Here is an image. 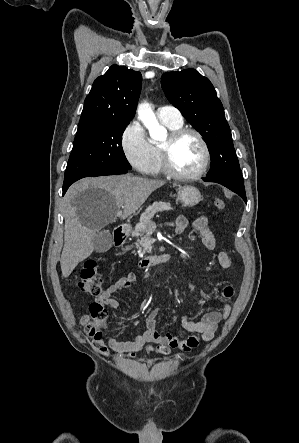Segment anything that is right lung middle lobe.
<instances>
[{"label": "right lung middle lobe", "mask_w": 299, "mask_h": 443, "mask_svg": "<svg viewBox=\"0 0 299 443\" xmlns=\"http://www.w3.org/2000/svg\"><path fill=\"white\" fill-rule=\"evenodd\" d=\"M129 122H109L77 131L63 185L110 169L132 167L121 146Z\"/></svg>", "instance_id": "right-lung-middle-lobe-1"}]
</instances>
